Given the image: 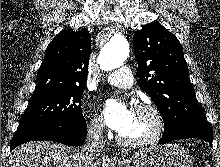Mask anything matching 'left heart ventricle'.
I'll return each mask as SVG.
<instances>
[{"label":"left heart ventricle","mask_w":220,"mask_h":167,"mask_svg":"<svg viewBox=\"0 0 220 167\" xmlns=\"http://www.w3.org/2000/svg\"><path fill=\"white\" fill-rule=\"evenodd\" d=\"M155 127V120L148 112L133 110L132 118L120 135L129 140H140L149 136Z\"/></svg>","instance_id":"obj_1"}]
</instances>
